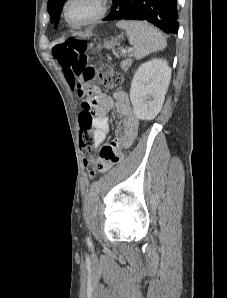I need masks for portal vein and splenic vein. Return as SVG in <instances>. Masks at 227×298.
Listing matches in <instances>:
<instances>
[{
  "instance_id": "portal-vein-and-splenic-vein-1",
  "label": "portal vein and splenic vein",
  "mask_w": 227,
  "mask_h": 298,
  "mask_svg": "<svg viewBox=\"0 0 227 298\" xmlns=\"http://www.w3.org/2000/svg\"><path fill=\"white\" fill-rule=\"evenodd\" d=\"M132 51H134V48H130V49H128L127 51H126V50H123L122 53H127V52L130 53V52H132Z\"/></svg>"
}]
</instances>
